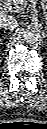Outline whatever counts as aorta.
Instances as JSON below:
<instances>
[{
	"label": "aorta",
	"instance_id": "762f6f07",
	"mask_svg": "<svg viewBox=\"0 0 47 129\" xmlns=\"http://www.w3.org/2000/svg\"><path fill=\"white\" fill-rule=\"evenodd\" d=\"M42 32L36 25H27L22 29L23 40L28 44H35L41 40Z\"/></svg>",
	"mask_w": 47,
	"mask_h": 129
}]
</instances>
